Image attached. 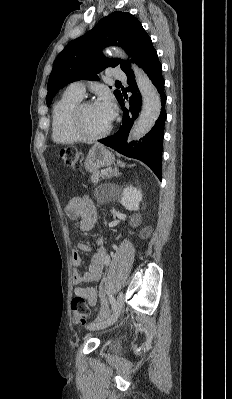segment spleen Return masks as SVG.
Listing matches in <instances>:
<instances>
[{
    "instance_id": "1",
    "label": "spleen",
    "mask_w": 232,
    "mask_h": 399,
    "mask_svg": "<svg viewBox=\"0 0 232 399\" xmlns=\"http://www.w3.org/2000/svg\"><path fill=\"white\" fill-rule=\"evenodd\" d=\"M118 164H120L121 168H124V164H122V162H118Z\"/></svg>"
}]
</instances>
